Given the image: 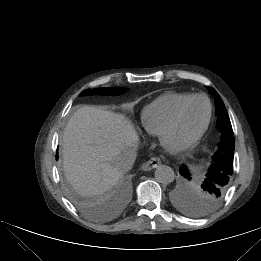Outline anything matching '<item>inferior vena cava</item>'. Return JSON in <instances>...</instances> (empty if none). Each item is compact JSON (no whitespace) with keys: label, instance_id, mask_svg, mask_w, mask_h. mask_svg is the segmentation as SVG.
Returning a JSON list of instances; mask_svg holds the SVG:
<instances>
[{"label":"inferior vena cava","instance_id":"obj_1","mask_svg":"<svg viewBox=\"0 0 261 261\" xmlns=\"http://www.w3.org/2000/svg\"><path fill=\"white\" fill-rule=\"evenodd\" d=\"M136 159V151L134 149L124 150L116 159V168L121 172L125 173L129 171Z\"/></svg>","mask_w":261,"mask_h":261}]
</instances>
